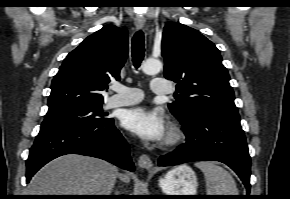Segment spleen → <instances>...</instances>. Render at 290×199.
Instances as JSON below:
<instances>
[{
  "mask_svg": "<svg viewBox=\"0 0 290 199\" xmlns=\"http://www.w3.org/2000/svg\"><path fill=\"white\" fill-rule=\"evenodd\" d=\"M195 166L204 173L207 195H238L234 179L224 168L210 161Z\"/></svg>",
  "mask_w": 290,
  "mask_h": 199,
  "instance_id": "obj_1",
  "label": "spleen"
}]
</instances>
